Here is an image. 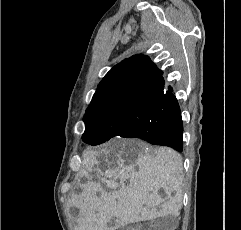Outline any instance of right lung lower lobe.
<instances>
[{"mask_svg":"<svg viewBox=\"0 0 241 230\" xmlns=\"http://www.w3.org/2000/svg\"><path fill=\"white\" fill-rule=\"evenodd\" d=\"M164 84L144 113L146 126L135 131L134 136L150 144L168 146L181 152L183 123L180 107L172 88Z\"/></svg>","mask_w":241,"mask_h":230,"instance_id":"obj_1","label":"right lung lower lobe"}]
</instances>
